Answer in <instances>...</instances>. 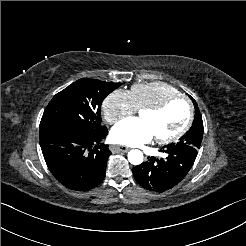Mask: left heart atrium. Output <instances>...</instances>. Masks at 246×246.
Listing matches in <instances>:
<instances>
[{"instance_id": "39dd6f15", "label": "left heart atrium", "mask_w": 246, "mask_h": 246, "mask_svg": "<svg viewBox=\"0 0 246 246\" xmlns=\"http://www.w3.org/2000/svg\"><path fill=\"white\" fill-rule=\"evenodd\" d=\"M153 138V131L139 118L121 121L111 132V140L121 145L139 146L150 142Z\"/></svg>"}]
</instances>
